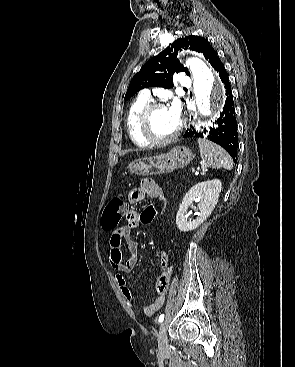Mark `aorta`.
Returning <instances> with one entry per match:
<instances>
[{
  "instance_id": "aorta-1",
  "label": "aorta",
  "mask_w": 295,
  "mask_h": 367,
  "mask_svg": "<svg viewBox=\"0 0 295 367\" xmlns=\"http://www.w3.org/2000/svg\"><path fill=\"white\" fill-rule=\"evenodd\" d=\"M188 65L194 80L193 89L198 110L202 116L209 117L224 104V86L204 61L192 58L188 60Z\"/></svg>"
}]
</instances>
